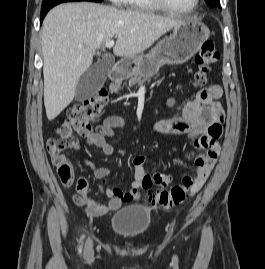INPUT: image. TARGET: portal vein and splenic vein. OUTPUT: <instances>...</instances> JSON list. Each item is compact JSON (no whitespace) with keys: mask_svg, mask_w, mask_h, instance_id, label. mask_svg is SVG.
Returning <instances> with one entry per match:
<instances>
[{"mask_svg":"<svg viewBox=\"0 0 265 269\" xmlns=\"http://www.w3.org/2000/svg\"><path fill=\"white\" fill-rule=\"evenodd\" d=\"M114 46V40H110V41H107L106 43H105V47L106 48H111V47H113ZM80 48H82V46H79Z\"/></svg>","mask_w":265,"mask_h":269,"instance_id":"1","label":"portal vein and splenic vein"}]
</instances>
